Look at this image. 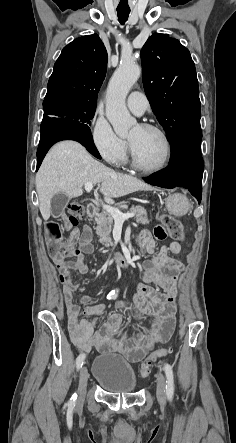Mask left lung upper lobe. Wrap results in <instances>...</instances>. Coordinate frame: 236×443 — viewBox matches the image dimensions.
I'll return each instance as SVG.
<instances>
[{
	"label": "left lung upper lobe",
	"mask_w": 236,
	"mask_h": 443,
	"mask_svg": "<svg viewBox=\"0 0 236 443\" xmlns=\"http://www.w3.org/2000/svg\"><path fill=\"white\" fill-rule=\"evenodd\" d=\"M146 95L170 142L191 128H200L201 104L194 62L189 50L167 34L154 33L141 50Z\"/></svg>",
	"instance_id": "1"
}]
</instances>
